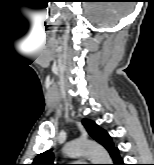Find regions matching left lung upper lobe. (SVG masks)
Masks as SVG:
<instances>
[{"mask_svg": "<svg viewBox=\"0 0 154 165\" xmlns=\"http://www.w3.org/2000/svg\"><path fill=\"white\" fill-rule=\"evenodd\" d=\"M83 125L85 126L89 135L101 145H103L112 156L117 148L114 147V144L112 143L109 134L91 120H83ZM53 157L54 154L52 150H47L37 155L31 165H55L53 162Z\"/></svg>", "mask_w": 154, "mask_h": 165, "instance_id": "5c2ea615", "label": "left lung upper lobe"}]
</instances>
